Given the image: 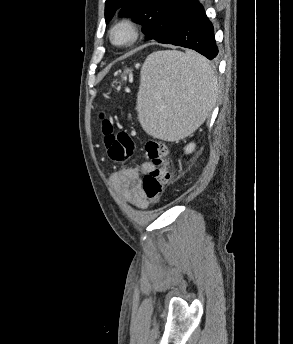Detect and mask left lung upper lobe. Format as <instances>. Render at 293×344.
<instances>
[{
	"mask_svg": "<svg viewBox=\"0 0 293 344\" xmlns=\"http://www.w3.org/2000/svg\"><path fill=\"white\" fill-rule=\"evenodd\" d=\"M192 0H106L105 20L108 23L115 12L134 18L142 24L145 39L160 42L181 20Z\"/></svg>",
	"mask_w": 293,
	"mask_h": 344,
	"instance_id": "obj_1",
	"label": "left lung upper lobe"
}]
</instances>
